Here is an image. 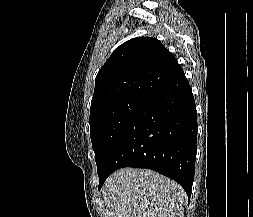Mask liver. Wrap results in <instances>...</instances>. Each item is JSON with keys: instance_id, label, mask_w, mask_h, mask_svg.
I'll return each mask as SVG.
<instances>
[{"instance_id": "liver-1", "label": "liver", "mask_w": 253, "mask_h": 217, "mask_svg": "<svg viewBox=\"0 0 253 217\" xmlns=\"http://www.w3.org/2000/svg\"><path fill=\"white\" fill-rule=\"evenodd\" d=\"M104 217H182L187 196L173 180L148 169L123 168L102 188Z\"/></svg>"}]
</instances>
